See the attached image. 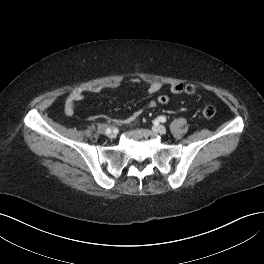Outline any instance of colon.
I'll use <instances>...</instances> for the list:
<instances>
[{"mask_svg":"<svg viewBox=\"0 0 264 264\" xmlns=\"http://www.w3.org/2000/svg\"><path fill=\"white\" fill-rule=\"evenodd\" d=\"M184 92L187 94H193L195 92V87L191 84L184 86ZM157 102L160 105H166L169 103V97L166 95H160L157 98ZM200 114L207 119H210L215 116L216 108L213 105H206L200 110Z\"/></svg>","mask_w":264,"mask_h":264,"instance_id":"colon-1","label":"colon"}]
</instances>
